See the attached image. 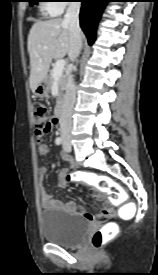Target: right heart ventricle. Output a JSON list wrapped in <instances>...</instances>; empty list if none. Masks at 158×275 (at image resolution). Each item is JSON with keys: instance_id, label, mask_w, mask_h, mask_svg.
<instances>
[{"instance_id": "e07e8e85", "label": "right heart ventricle", "mask_w": 158, "mask_h": 275, "mask_svg": "<svg viewBox=\"0 0 158 275\" xmlns=\"http://www.w3.org/2000/svg\"><path fill=\"white\" fill-rule=\"evenodd\" d=\"M45 7H46V9L48 10V8H47V7H48V4H46ZM48 11H49V10H48ZM49 12H50V11H49ZM50 13H51V12H50ZM51 14H52V13H51Z\"/></svg>"}]
</instances>
